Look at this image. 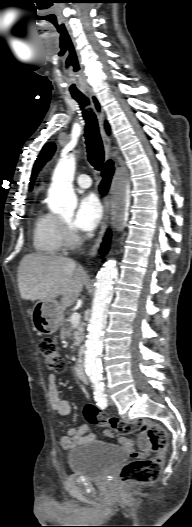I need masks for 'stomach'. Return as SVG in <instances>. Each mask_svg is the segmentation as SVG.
<instances>
[{
	"instance_id": "1",
	"label": "stomach",
	"mask_w": 192,
	"mask_h": 527,
	"mask_svg": "<svg viewBox=\"0 0 192 527\" xmlns=\"http://www.w3.org/2000/svg\"><path fill=\"white\" fill-rule=\"evenodd\" d=\"M63 318V308L56 300H39L32 313L35 330L40 334H52L58 330Z\"/></svg>"
}]
</instances>
